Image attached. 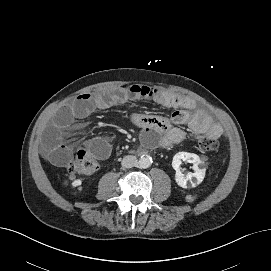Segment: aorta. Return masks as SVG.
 I'll use <instances>...</instances> for the list:
<instances>
[{
    "instance_id": "762f6f07",
    "label": "aorta",
    "mask_w": 271,
    "mask_h": 271,
    "mask_svg": "<svg viewBox=\"0 0 271 271\" xmlns=\"http://www.w3.org/2000/svg\"><path fill=\"white\" fill-rule=\"evenodd\" d=\"M152 164V157L149 155H143L140 157L138 161V165L140 168L146 169L150 167Z\"/></svg>"
}]
</instances>
